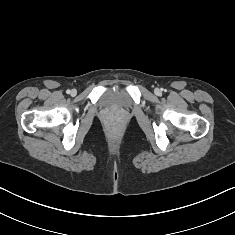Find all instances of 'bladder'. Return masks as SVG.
<instances>
[{
    "instance_id": "obj_1",
    "label": "bladder",
    "mask_w": 235,
    "mask_h": 235,
    "mask_svg": "<svg viewBox=\"0 0 235 235\" xmlns=\"http://www.w3.org/2000/svg\"><path fill=\"white\" fill-rule=\"evenodd\" d=\"M100 103L110 110H128L132 107V98L126 90H115L104 93Z\"/></svg>"
}]
</instances>
